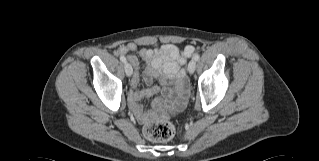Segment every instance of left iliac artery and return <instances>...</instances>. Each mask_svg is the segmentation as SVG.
Segmentation results:
<instances>
[{
  "label": "left iliac artery",
  "instance_id": "obj_1",
  "mask_svg": "<svg viewBox=\"0 0 319 161\" xmlns=\"http://www.w3.org/2000/svg\"><path fill=\"white\" fill-rule=\"evenodd\" d=\"M199 58H200V55H199V54H195L193 59H194L195 61H198Z\"/></svg>",
  "mask_w": 319,
  "mask_h": 161
}]
</instances>
